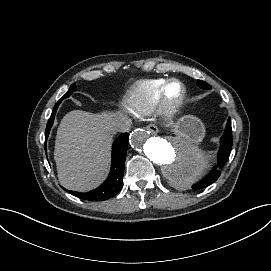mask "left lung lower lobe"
Masks as SVG:
<instances>
[{
  "instance_id": "1",
  "label": "left lung lower lobe",
  "mask_w": 271,
  "mask_h": 271,
  "mask_svg": "<svg viewBox=\"0 0 271 271\" xmlns=\"http://www.w3.org/2000/svg\"><path fill=\"white\" fill-rule=\"evenodd\" d=\"M232 149V128L231 119L228 118L227 125L223 136L221 137V147L218 152V165L201 180L199 183L193 186L194 189L205 188L214 183L221 175V169L224 167L226 161L229 158Z\"/></svg>"
}]
</instances>
